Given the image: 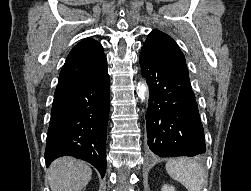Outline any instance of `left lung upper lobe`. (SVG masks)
I'll return each instance as SVG.
<instances>
[{"label":"left lung upper lobe","instance_id":"5c2ea615","mask_svg":"<svg viewBox=\"0 0 251 191\" xmlns=\"http://www.w3.org/2000/svg\"><path fill=\"white\" fill-rule=\"evenodd\" d=\"M141 52L153 56L157 61L173 70L189 74L185 57L179 46L170 36L161 31L153 30L148 35Z\"/></svg>","mask_w":251,"mask_h":191}]
</instances>
